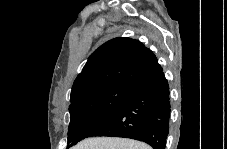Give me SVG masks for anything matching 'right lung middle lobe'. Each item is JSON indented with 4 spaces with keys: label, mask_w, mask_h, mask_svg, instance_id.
<instances>
[{
    "label": "right lung middle lobe",
    "mask_w": 227,
    "mask_h": 149,
    "mask_svg": "<svg viewBox=\"0 0 227 149\" xmlns=\"http://www.w3.org/2000/svg\"><path fill=\"white\" fill-rule=\"evenodd\" d=\"M134 88L110 84L97 88L70 104L67 148L89 137L128 99Z\"/></svg>",
    "instance_id": "dd1d6c3e"
}]
</instances>
